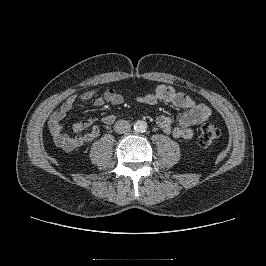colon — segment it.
Returning <instances> with one entry per match:
<instances>
[{
    "label": "colon",
    "instance_id": "1",
    "mask_svg": "<svg viewBox=\"0 0 266 266\" xmlns=\"http://www.w3.org/2000/svg\"><path fill=\"white\" fill-rule=\"evenodd\" d=\"M220 136L219 129L212 123H204L200 127L198 144L201 147H208L216 142Z\"/></svg>",
    "mask_w": 266,
    "mask_h": 266
}]
</instances>
